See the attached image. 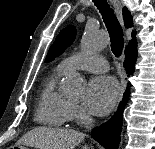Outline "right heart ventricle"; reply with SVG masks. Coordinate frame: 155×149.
Segmentation results:
<instances>
[{
  "label": "right heart ventricle",
  "instance_id": "right-heart-ventricle-1",
  "mask_svg": "<svg viewBox=\"0 0 155 149\" xmlns=\"http://www.w3.org/2000/svg\"><path fill=\"white\" fill-rule=\"evenodd\" d=\"M65 74L59 66L45 80L35 111V120L43 125L62 127L69 120V100L57 91V82Z\"/></svg>",
  "mask_w": 155,
  "mask_h": 149
}]
</instances>
